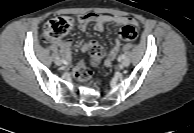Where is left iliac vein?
I'll use <instances>...</instances> for the list:
<instances>
[{
    "instance_id": "4c4485c4",
    "label": "left iliac vein",
    "mask_w": 194,
    "mask_h": 133,
    "mask_svg": "<svg viewBox=\"0 0 194 133\" xmlns=\"http://www.w3.org/2000/svg\"><path fill=\"white\" fill-rule=\"evenodd\" d=\"M129 64H130V61L127 58L121 61V66L122 67H128Z\"/></svg>"
}]
</instances>
